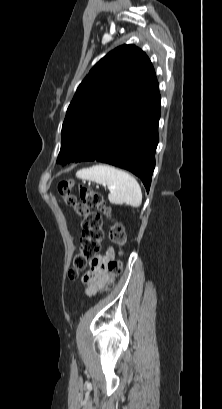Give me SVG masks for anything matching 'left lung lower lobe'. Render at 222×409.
Wrapping results in <instances>:
<instances>
[{
    "mask_svg": "<svg viewBox=\"0 0 222 409\" xmlns=\"http://www.w3.org/2000/svg\"><path fill=\"white\" fill-rule=\"evenodd\" d=\"M160 118L159 91L146 101L127 99L92 138L75 162L99 161L138 176L149 191Z\"/></svg>",
    "mask_w": 222,
    "mask_h": 409,
    "instance_id": "left-lung-lower-lobe-1",
    "label": "left lung lower lobe"
}]
</instances>
